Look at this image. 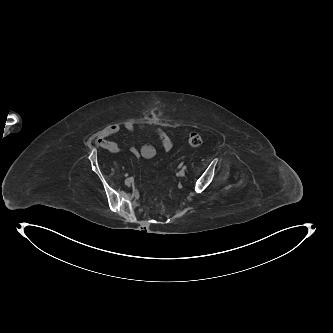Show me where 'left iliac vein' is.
<instances>
[{
	"instance_id": "obj_1",
	"label": "left iliac vein",
	"mask_w": 333,
	"mask_h": 333,
	"mask_svg": "<svg viewBox=\"0 0 333 333\" xmlns=\"http://www.w3.org/2000/svg\"><path fill=\"white\" fill-rule=\"evenodd\" d=\"M185 175V171L184 170H180L178 173H177V176L178 177H183Z\"/></svg>"
}]
</instances>
